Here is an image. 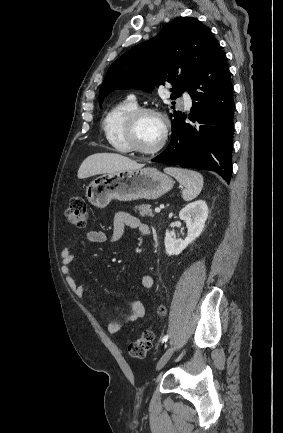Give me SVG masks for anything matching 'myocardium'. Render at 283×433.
Listing matches in <instances>:
<instances>
[{
  "label": "myocardium",
  "mask_w": 283,
  "mask_h": 433,
  "mask_svg": "<svg viewBox=\"0 0 283 433\" xmlns=\"http://www.w3.org/2000/svg\"><path fill=\"white\" fill-rule=\"evenodd\" d=\"M147 114H153L161 119L163 123V131L161 135V139L154 150H145L140 147L139 143L136 140V129L139 120ZM170 130V121L166 114L155 107L143 106L137 107L129 115L126 117L122 136L123 140L128 146L129 150L134 152L135 154L141 157H156L164 152L166 148V142L168 139V134Z\"/></svg>",
  "instance_id": "myocardium-1"
}]
</instances>
